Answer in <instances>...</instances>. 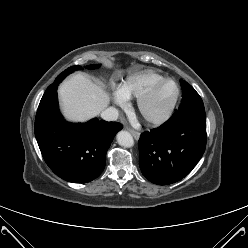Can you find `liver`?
<instances>
[{"label":"liver","mask_w":248,"mask_h":248,"mask_svg":"<svg viewBox=\"0 0 248 248\" xmlns=\"http://www.w3.org/2000/svg\"><path fill=\"white\" fill-rule=\"evenodd\" d=\"M65 117L83 122L97 116L108 105L110 98L104 89L82 74H75L58 89Z\"/></svg>","instance_id":"1"}]
</instances>
